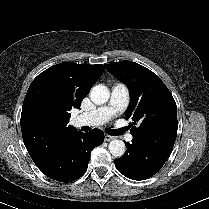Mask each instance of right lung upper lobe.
Instances as JSON below:
<instances>
[{
  "label": "right lung upper lobe",
  "instance_id": "cb5924a9",
  "mask_svg": "<svg viewBox=\"0 0 209 209\" xmlns=\"http://www.w3.org/2000/svg\"><path fill=\"white\" fill-rule=\"evenodd\" d=\"M104 65L63 62L39 74L31 83L22 107L24 144L38 166L77 130L68 125L70 111L79 108Z\"/></svg>",
  "mask_w": 209,
  "mask_h": 209
}]
</instances>
